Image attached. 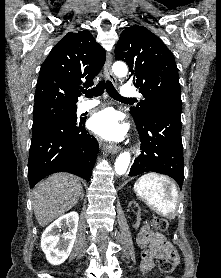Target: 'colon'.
Returning a JSON list of instances; mask_svg holds the SVG:
<instances>
[{
  "instance_id": "1",
  "label": "colon",
  "mask_w": 221,
  "mask_h": 278,
  "mask_svg": "<svg viewBox=\"0 0 221 278\" xmlns=\"http://www.w3.org/2000/svg\"><path fill=\"white\" fill-rule=\"evenodd\" d=\"M168 221L162 217H154L152 221V227L155 231L164 232L168 229ZM176 266V260L171 256L165 254L160 257L159 269L165 274L172 273Z\"/></svg>"
}]
</instances>
